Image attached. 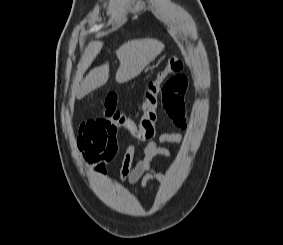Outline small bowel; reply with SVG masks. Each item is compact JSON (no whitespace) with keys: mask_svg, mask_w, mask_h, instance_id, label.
<instances>
[{"mask_svg":"<svg viewBox=\"0 0 283 245\" xmlns=\"http://www.w3.org/2000/svg\"><path fill=\"white\" fill-rule=\"evenodd\" d=\"M188 87V80L184 74L176 73L165 80L161 105L181 129L186 126L184 94ZM183 134L180 132L162 133L156 140H151L142 150L141 157L134 163L136 146L134 143L126 145L123 153L119 179L130 185L140 183L145 189L151 182H165L174 172V164H170L165 172H160L152 166L155 157H170V151L160 146L162 143H180ZM122 142L118 130L102 119L90 120L83 123L79 129L77 147L84 160L93 166L97 174H105L108 167L116 159Z\"/></svg>","mask_w":283,"mask_h":245,"instance_id":"obj_1","label":"small bowel"}]
</instances>
